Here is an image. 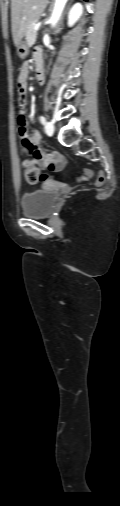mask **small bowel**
I'll use <instances>...</instances> for the list:
<instances>
[{
    "label": "small bowel",
    "instance_id": "1",
    "mask_svg": "<svg viewBox=\"0 0 120 506\" xmlns=\"http://www.w3.org/2000/svg\"><path fill=\"white\" fill-rule=\"evenodd\" d=\"M37 53L41 54V50L38 48H36L33 52V59L34 60H35V55ZM28 75H29V63L25 62L21 66L19 76H18V81H21L23 83L24 87H25V83H26V79H27ZM40 79L42 80L43 78H40ZM20 134L22 136L23 135L29 136L31 138V141L34 144V146L40 152L41 156L38 158L37 163L41 168L50 169V170H59L63 167L64 156L62 154L48 155L43 150H41L39 148L40 137H39V134L37 131H34L31 135H28L27 133L26 134L20 133Z\"/></svg>",
    "mask_w": 120,
    "mask_h": 506
}]
</instances>
